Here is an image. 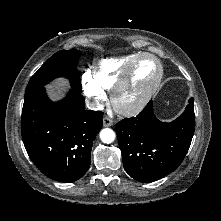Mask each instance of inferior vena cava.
Instances as JSON below:
<instances>
[{
    "label": "inferior vena cava",
    "mask_w": 221,
    "mask_h": 221,
    "mask_svg": "<svg viewBox=\"0 0 221 221\" xmlns=\"http://www.w3.org/2000/svg\"><path fill=\"white\" fill-rule=\"evenodd\" d=\"M87 107L89 109H92V110H101L103 109V105H101L99 102H96V103H87Z\"/></svg>",
    "instance_id": "obj_1"
}]
</instances>
